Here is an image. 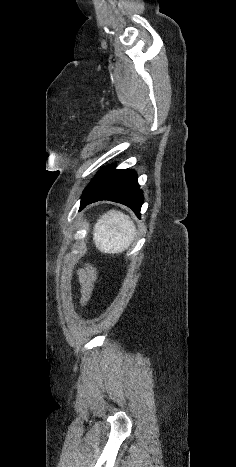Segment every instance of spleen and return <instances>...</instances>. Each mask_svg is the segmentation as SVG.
Instances as JSON below:
<instances>
[{
  "instance_id": "3e777b00",
  "label": "spleen",
  "mask_w": 236,
  "mask_h": 467,
  "mask_svg": "<svg viewBox=\"0 0 236 467\" xmlns=\"http://www.w3.org/2000/svg\"><path fill=\"white\" fill-rule=\"evenodd\" d=\"M136 236V227L129 216L115 210L102 215L94 225L93 240L104 253H121Z\"/></svg>"
}]
</instances>
